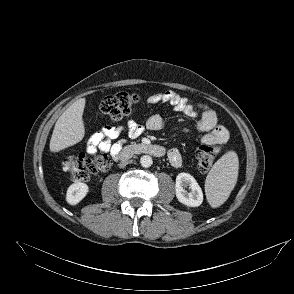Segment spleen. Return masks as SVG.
Returning a JSON list of instances; mask_svg holds the SVG:
<instances>
[{
    "instance_id": "1",
    "label": "spleen",
    "mask_w": 294,
    "mask_h": 294,
    "mask_svg": "<svg viewBox=\"0 0 294 294\" xmlns=\"http://www.w3.org/2000/svg\"><path fill=\"white\" fill-rule=\"evenodd\" d=\"M238 156L234 151L224 154L212 167L205 182L209 204L219 207L229 197L238 177Z\"/></svg>"
}]
</instances>
